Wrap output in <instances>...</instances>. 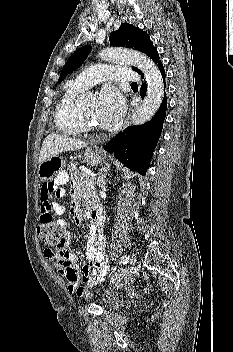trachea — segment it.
Listing matches in <instances>:
<instances>
[{"mask_svg": "<svg viewBox=\"0 0 233 352\" xmlns=\"http://www.w3.org/2000/svg\"><path fill=\"white\" fill-rule=\"evenodd\" d=\"M131 85H137V83H136V82H133V83H131Z\"/></svg>", "mask_w": 233, "mask_h": 352, "instance_id": "trachea-1", "label": "trachea"}]
</instances>
